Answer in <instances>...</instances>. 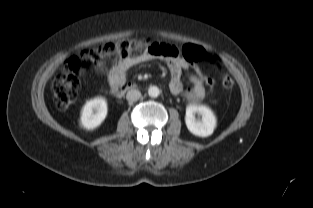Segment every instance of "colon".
Wrapping results in <instances>:
<instances>
[{
	"label": "colon",
	"mask_w": 313,
	"mask_h": 208,
	"mask_svg": "<svg viewBox=\"0 0 313 208\" xmlns=\"http://www.w3.org/2000/svg\"><path fill=\"white\" fill-rule=\"evenodd\" d=\"M160 45L149 40L132 41L122 40L107 43L97 49H83L73 54L67 61L64 71L56 78L53 84V99L57 108L65 109L74 100L81 83V77L97 61L103 58H112L116 55L130 54L134 52L159 53ZM183 57L194 67L203 78L206 85L214 88V81L207 77L198 66L199 62H206L219 67V61L203 48L187 45L183 48ZM221 83L225 88L233 86V80L226 72H221Z\"/></svg>",
	"instance_id": "1"
}]
</instances>
